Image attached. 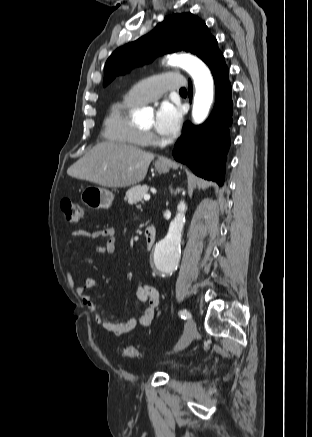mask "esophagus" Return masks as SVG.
<instances>
[{
    "instance_id": "esophagus-1",
    "label": "esophagus",
    "mask_w": 312,
    "mask_h": 437,
    "mask_svg": "<svg viewBox=\"0 0 312 437\" xmlns=\"http://www.w3.org/2000/svg\"><path fill=\"white\" fill-rule=\"evenodd\" d=\"M159 161H160V162H166V160H164V159H160Z\"/></svg>"
}]
</instances>
